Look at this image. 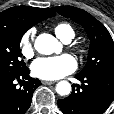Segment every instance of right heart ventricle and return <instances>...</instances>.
Segmentation results:
<instances>
[{
  "label": "right heart ventricle",
  "mask_w": 114,
  "mask_h": 114,
  "mask_svg": "<svg viewBox=\"0 0 114 114\" xmlns=\"http://www.w3.org/2000/svg\"><path fill=\"white\" fill-rule=\"evenodd\" d=\"M54 32L62 41L72 39L74 37V30L72 26L65 22H60L54 26Z\"/></svg>",
  "instance_id": "right-heart-ventricle-1"
}]
</instances>
